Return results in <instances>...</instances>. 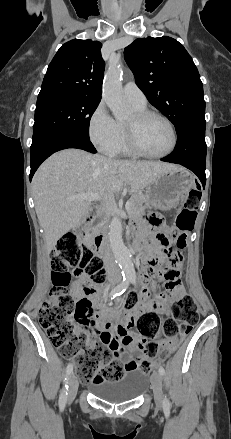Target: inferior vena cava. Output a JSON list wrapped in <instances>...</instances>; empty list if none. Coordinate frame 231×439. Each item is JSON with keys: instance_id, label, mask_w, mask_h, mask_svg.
Here are the masks:
<instances>
[{"instance_id": "inferior-vena-cava-1", "label": "inferior vena cava", "mask_w": 231, "mask_h": 439, "mask_svg": "<svg viewBox=\"0 0 231 439\" xmlns=\"http://www.w3.org/2000/svg\"><path fill=\"white\" fill-rule=\"evenodd\" d=\"M103 250H104V262L107 267L108 274L109 275L118 274V268L113 260L109 246L105 244L103 246Z\"/></svg>"}]
</instances>
